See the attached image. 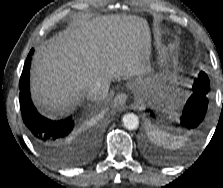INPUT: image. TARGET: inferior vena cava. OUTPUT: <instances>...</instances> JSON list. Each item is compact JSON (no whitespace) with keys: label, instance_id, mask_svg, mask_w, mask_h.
I'll use <instances>...</instances> for the list:
<instances>
[{"label":"inferior vena cava","instance_id":"1","mask_svg":"<svg viewBox=\"0 0 223 188\" xmlns=\"http://www.w3.org/2000/svg\"><path fill=\"white\" fill-rule=\"evenodd\" d=\"M110 82L107 79H97L87 89L85 96L92 101L98 102L104 100L109 91Z\"/></svg>","mask_w":223,"mask_h":188}]
</instances>
